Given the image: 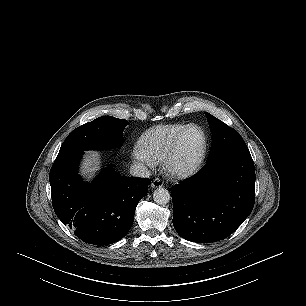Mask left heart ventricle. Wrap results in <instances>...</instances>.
I'll use <instances>...</instances> for the list:
<instances>
[{"label":"left heart ventricle","instance_id":"obj_1","mask_svg":"<svg viewBox=\"0 0 306 306\" xmlns=\"http://www.w3.org/2000/svg\"><path fill=\"white\" fill-rule=\"evenodd\" d=\"M203 137L199 130H190L182 143V162L187 163L195 159L201 152Z\"/></svg>","mask_w":306,"mask_h":306}]
</instances>
